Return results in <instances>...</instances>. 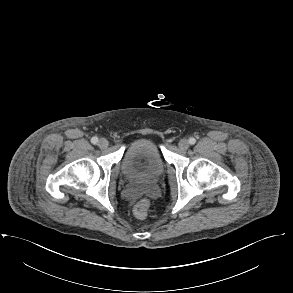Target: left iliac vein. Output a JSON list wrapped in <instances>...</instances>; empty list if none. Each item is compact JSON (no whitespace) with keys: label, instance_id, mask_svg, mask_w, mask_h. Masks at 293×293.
<instances>
[{"label":"left iliac vein","instance_id":"left-iliac-vein-1","mask_svg":"<svg viewBox=\"0 0 293 293\" xmlns=\"http://www.w3.org/2000/svg\"><path fill=\"white\" fill-rule=\"evenodd\" d=\"M178 146L181 150H187L189 148V141L187 139H181Z\"/></svg>","mask_w":293,"mask_h":293}]
</instances>
